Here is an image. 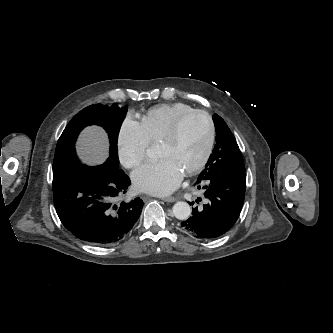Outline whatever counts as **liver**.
<instances>
[{
	"label": "liver",
	"instance_id": "1",
	"mask_svg": "<svg viewBox=\"0 0 333 333\" xmlns=\"http://www.w3.org/2000/svg\"><path fill=\"white\" fill-rule=\"evenodd\" d=\"M108 148L106 133L99 127L86 128L78 142V155L88 164L101 163L106 159Z\"/></svg>",
	"mask_w": 333,
	"mask_h": 333
}]
</instances>
